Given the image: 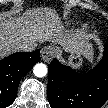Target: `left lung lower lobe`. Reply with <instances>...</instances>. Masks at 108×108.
I'll return each instance as SVG.
<instances>
[{
    "mask_svg": "<svg viewBox=\"0 0 108 108\" xmlns=\"http://www.w3.org/2000/svg\"><path fill=\"white\" fill-rule=\"evenodd\" d=\"M47 96L51 108H100L108 99V42L102 60L88 73L53 60Z\"/></svg>",
    "mask_w": 108,
    "mask_h": 108,
    "instance_id": "obj_1",
    "label": "left lung lower lobe"
}]
</instances>
